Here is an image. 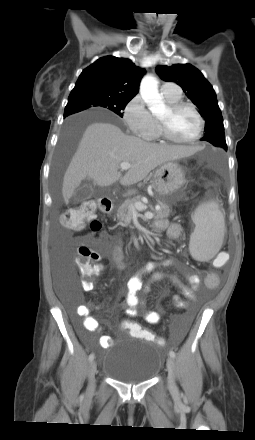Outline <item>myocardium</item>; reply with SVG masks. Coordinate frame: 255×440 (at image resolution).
Masks as SVG:
<instances>
[{
  "instance_id": "1",
  "label": "myocardium",
  "mask_w": 255,
  "mask_h": 440,
  "mask_svg": "<svg viewBox=\"0 0 255 440\" xmlns=\"http://www.w3.org/2000/svg\"><path fill=\"white\" fill-rule=\"evenodd\" d=\"M170 114L174 115L175 113L183 110V109H189L191 110L197 117L198 122H199V127L198 130L196 132V134L189 139L186 140H181L176 138L171 130H170V126H169V121L167 119H159V126H160V131L162 133V136L165 140L172 142V143H176V144H192L196 141H198L204 131V127H205V121L203 116L200 114V112L190 103H186V102H178L172 105H169L168 107Z\"/></svg>"
}]
</instances>
